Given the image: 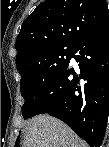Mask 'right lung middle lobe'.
<instances>
[{
  "label": "right lung middle lobe",
  "mask_w": 109,
  "mask_h": 147,
  "mask_svg": "<svg viewBox=\"0 0 109 147\" xmlns=\"http://www.w3.org/2000/svg\"><path fill=\"white\" fill-rule=\"evenodd\" d=\"M71 48L46 49L38 53L28 64L18 68L21 74V93L25 99L24 119L35 111L51 85L71 59Z\"/></svg>",
  "instance_id": "1"
}]
</instances>
